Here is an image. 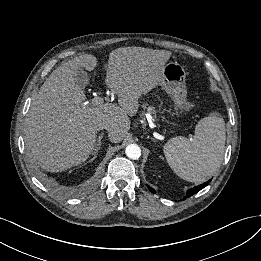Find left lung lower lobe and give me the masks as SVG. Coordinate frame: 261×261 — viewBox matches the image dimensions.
<instances>
[{"mask_svg":"<svg viewBox=\"0 0 261 261\" xmlns=\"http://www.w3.org/2000/svg\"><path fill=\"white\" fill-rule=\"evenodd\" d=\"M210 181H211V180H208L207 182H205V183H203V184H201V185H198V186H196V187H193V188L189 189V190L187 191V197H190V196L194 195L195 193H197L198 191H200L201 189H203L204 187H206V186L210 183ZM147 187H148V189H149L152 193L155 192V190H154L153 188H151L150 186L147 185ZM184 199H185V198H184Z\"/></svg>","mask_w":261,"mask_h":261,"instance_id":"1","label":"left lung lower lobe"}]
</instances>
